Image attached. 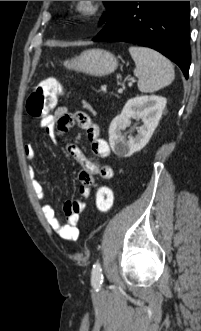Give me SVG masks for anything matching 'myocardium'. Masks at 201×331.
Masks as SVG:
<instances>
[{"mask_svg": "<svg viewBox=\"0 0 201 331\" xmlns=\"http://www.w3.org/2000/svg\"><path fill=\"white\" fill-rule=\"evenodd\" d=\"M76 8L85 16H92L99 10V1H77Z\"/></svg>", "mask_w": 201, "mask_h": 331, "instance_id": "1", "label": "myocardium"}]
</instances>
